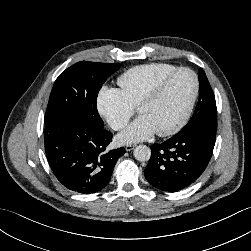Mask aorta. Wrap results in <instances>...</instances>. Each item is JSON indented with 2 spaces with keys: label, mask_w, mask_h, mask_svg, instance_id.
<instances>
[{
  "label": "aorta",
  "mask_w": 251,
  "mask_h": 251,
  "mask_svg": "<svg viewBox=\"0 0 251 251\" xmlns=\"http://www.w3.org/2000/svg\"><path fill=\"white\" fill-rule=\"evenodd\" d=\"M134 157L138 161H148L151 157V149L146 145H139L134 149Z\"/></svg>",
  "instance_id": "obj_1"
}]
</instances>
